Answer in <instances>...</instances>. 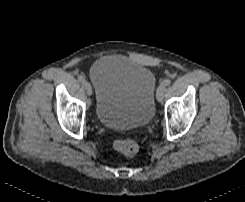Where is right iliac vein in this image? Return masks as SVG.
I'll return each instance as SVG.
<instances>
[{"mask_svg": "<svg viewBox=\"0 0 245 202\" xmlns=\"http://www.w3.org/2000/svg\"><path fill=\"white\" fill-rule=\"evenodd\" d=\"M83 87L85 88L87 94L91 96L93 92L91 84L88 81H83Z\"/></svg>", "mask_w": 245, "mask_h": 202, "instance_id": "obj_1", "label": "right iliac vein"}]
</instances>
